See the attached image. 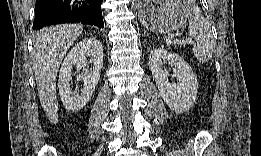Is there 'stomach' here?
<instances>
[{"mask_svg":"<svg viewBox=\"0 0 261 156\" xmlns=\"http://www.w3.org/2000/svg\"><path fill=\"white\" fill-rule=\"evenodd\" d=\"M191 13L190 7L182 3L149 1L141 2L138 11L140 21L147 29L161 33L183 27Z\"/></svg>","mask_w":261,"mask_h":156,"instance_id":"obj_1","label":"stomach"}]
</instances>
